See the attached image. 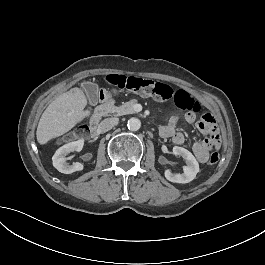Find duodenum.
<instances>
[{"instance_id": "410a0bca", "label": "duodenum", "mask_w": 265, "mask_h": 265, "mask_svg": "<svg viewBox=\"0 0 265 265\" xmlns=\"http://www.w3.org/2000/svg\"><path fill=\"white\" fill-rule=\"evenodd\" d=\"M105 90H101V97H100V103L95 108L91 120H90V128L91 131H96L99 129V121L102 117L115 112L116 109L113 105V99L110 95L105 94Z\"/></svg>"}]
</instances>
